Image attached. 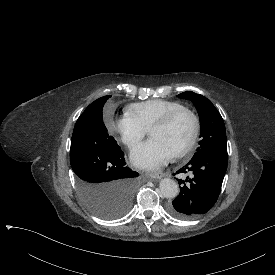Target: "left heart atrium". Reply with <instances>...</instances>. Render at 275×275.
Segmentation results:
<instances>
[{"mask_svg":"<svg viewBox=\"0 0 275 275\" xmlns=\"http://www.w3.org/2000/svg\"><path fill=\"white\" fill-rule=\"evenodd\" d=\"M174 156L171 149L157 139H150L132 155V162L141 168L156 169L166 165Z\"/></svg>","mask_w":275,"mask_h":275,"instance_id":"1","label":"left heart atrium"}]
</instances>
